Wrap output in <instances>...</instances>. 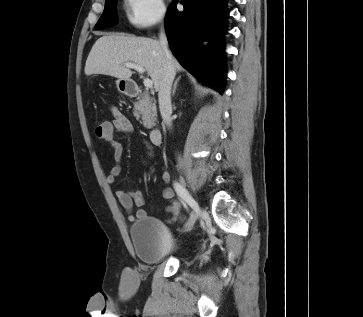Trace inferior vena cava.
<instances>
[{
    "label": "inferior vena cava",
    "mask_w": 363,
    "mask_h": 317,
    "mask_svg": "<svg viewBox=\"0 0 363 317\" xmlns=\"http://www.w3.org/2000/svg\"><path fill=\"white\" fill-rule=\"evenodd\" d=\"M159 42L164 53L163 72L158 89L159 109L164 124L171 127V86L175 77V69L173 66L172 55L168 50V42L166 35L161 32Z\"/></svg>",
    "instance_id": "obj_1"
}]
</instances>
